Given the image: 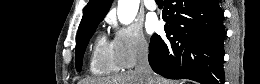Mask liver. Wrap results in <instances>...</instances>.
<instances>
[{
    "label": "liver",
    "mask_w": 260,
    "mask_h": 84,
    "mask_svg": "<svg viewBox=\"0 0 260 84\" xmlns=\"http://www.w3.org/2000/svg\"><path fill=\"white\" fill-rule=\"evenodd\" d=\"M155 84H184V81H170L154 74ZM82 84H145L144 77L129 70L115 76L82 81Z\"/></svg>",
    "instance_id": "obj_1"
}]
</instances>
